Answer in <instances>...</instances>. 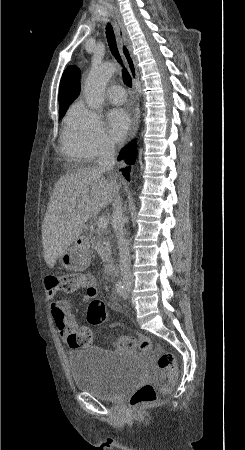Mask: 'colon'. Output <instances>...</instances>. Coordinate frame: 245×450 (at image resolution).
<instances>
[{
	"label": "colon",
	"instance_id": "1",
	"mask_svg": "<svg viewBox=\"0 0 245 450\" xmlns=\"http://www.w3.org/2000/svg\"><path fill=\"white\" fill-rule=\"evenodd\" d=\"M87 280L81 272H69L48 280L50 286H54L59 291H68L81 285ZM108 312L103 301L95 300L90 302L87 312V320L91 325H100L107 321ZM92 333L88 328L78 329L71 334V339L77 346H85L92 342ZM117 345L121 350H130L138 347L140 350H153L154 346L150 338L146 336H122L117 339ZM158 366L166 373L167 382L163 385V390L169 392L177 377V368L174 355L170 352L158 353ZM157 400V393L153 385L143 384L139 386L130 398V408L137 412L143 406L152 404Z\"/></svg>",
	"mask_w": 245,
	"mask_h": 450
}]
</instances>
